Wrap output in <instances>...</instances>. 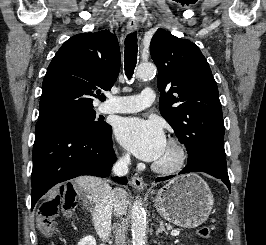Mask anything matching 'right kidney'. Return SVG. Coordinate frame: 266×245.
<instances>
[{
	"instance_id": "obj_1",
	"label": "right kidney",
	"mask_w": 266,
	"mask_h": 245,
	"mask_svg": "<svg viewBox=\"0 0 266 245\" xmlns=\"http://www.w3.org/2000/svg\"><path fill=\"white\" fill-rule=\"evenodd\" d=\"M78 245H96V239L88 235V237H84V239H80Z\"/></svg>"
}]
</instances>
